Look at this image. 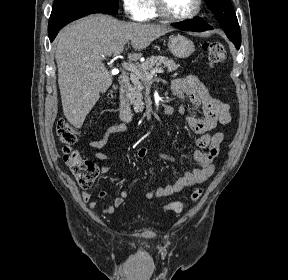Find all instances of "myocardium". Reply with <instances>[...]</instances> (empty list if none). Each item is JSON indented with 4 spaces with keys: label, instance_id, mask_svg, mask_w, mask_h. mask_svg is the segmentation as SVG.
Wrapping results in <instances>:
<instances>
[{
    "label": "myocardium",
    "instance_id": "1",
    "mask_svg": "<svg viewBox=\"0 0 288 280\" xmlns=\"http://www.w3.org/2000/svg\"><path fill=\"white\" fill-rule=\"evenodd\" d=\"M154 2L157 14L171 22H184L195 18L200 13L203 4V0H196L195 8L190 13L183 16H174L167 11L164 0H154Z\"/></svg>",
    "mask_w": 288,
    "mask_h": 280
}]
</instances>
